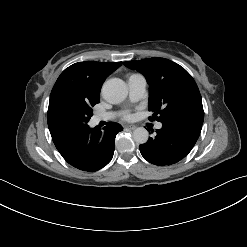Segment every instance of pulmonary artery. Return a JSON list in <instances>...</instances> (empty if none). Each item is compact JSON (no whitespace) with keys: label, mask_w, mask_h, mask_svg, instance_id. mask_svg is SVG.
<instances>
[{"label":"pulmonary artery","mask_w":247,"mask_h":247,"mask_svg":"<svg viewBox=\"0 0 247 247\" xmlns=\"http://www.w3.org/2000/svg\"><path fill=\"white\" fill-rule=\"evenodd\" d=\"M129 98L132 102H136L143 98L146 92V79L140 74H133L128 78ZM111 118V114H98L95 116L96 121L106 120ZM157 129L162 128L161 123L156 124Z\"/></svg>","instance_id":"e3ab8cb5"}]
</instances>
